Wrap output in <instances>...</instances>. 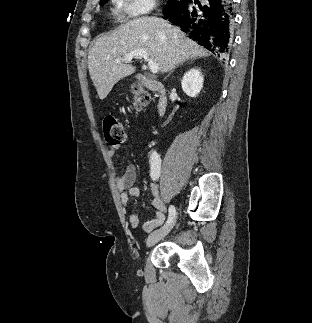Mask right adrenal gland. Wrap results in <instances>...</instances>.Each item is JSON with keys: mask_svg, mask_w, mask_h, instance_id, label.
<instances>
[{"mask_svg": "<svg viewBox=\"0 0 312 323\" xmlns=\"http://www.w3.org/2000/svg\"><path fill=\"white\" fill-rule=\"evenodd\" d=\"M190 64H192L193 60H189ZM179 66H183V64H179Z\"/></svg>", "mask_w": 312, "mask_h": 323, "instance_id": "obj_1", "label": "right adrenal gland"}]
</instances>
